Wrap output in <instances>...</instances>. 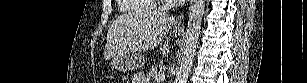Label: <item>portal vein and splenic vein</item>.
<instances>
[{
    "instance_id": "obj_1",
    "label": "portal vein and splenic vein",
    "mask_w": 307,
    "mask_h": 83,
    "mask_svg": "<svg viewBox=\"0 0 307 83\" xmlns=\"http://www.w3.org/2000/svg\"><path fill=\"white\" fill-rule=\"evenodd\" d=\"M159 78L163 79V80L165 79V77L163 75H159Z\"/></svg>"
}]
</instances>
